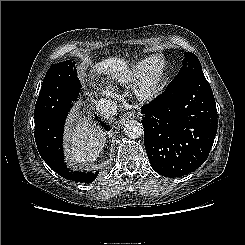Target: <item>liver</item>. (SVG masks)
I'll use <instances>...</instances> for the list:
<instances>
[{
    "instance_id": "1",
    "label": "liver",
    "mask_w": 245,
    "mask_h": 245,
    "mask_svg": "<svg viewBox=\"0 0 245 245\" xmlns=\"http://www.w3.org/2000/svg\"><path fill=\"white\" fill-rule=\"evenodd\" d=\"M88 75L91 76L92 69L96 74L115 75L126 74L128 66L124 59L109 57L101 62L90 65ZM86 74V73H85ZM105 132L95 126L91 117H82L79 112L71 114L65 135L66 153L73 166L88 165L96 160L105 143Z\"/></svg>"
}]
</instances>
